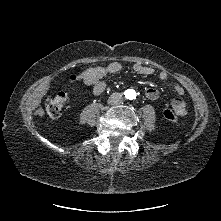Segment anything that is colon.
<instances>
[{
    "label": "colon",
    "mask_w": 221,
    "mask_h": 221,
    "mask_svg": "<svg viewBox=\"0 0 221 221\" xmlns=\"http://www.w3.org/2000/svg\"><path fill=\"white\" fill-rule=\"evenodd\" d=\"M114 59H103L98 62H89L81 64L80 67L73 66L68 69H62L59 77H66L69 79H74L78 74V68L82 71H89L95 68H98L101 65H108L113 63ZM65 100V94L63 92H59L56 95L49 97L45 104L40 108V112L50 117H56L59 114V110L61 105ZM186 116V110L182 108H177L175 111L166 110L165 117L169 120L174 119H184Z\"/></svg>",
    "instance_id": "obj_1"
}]
</instances>
